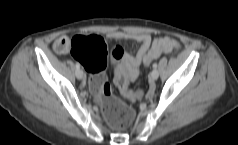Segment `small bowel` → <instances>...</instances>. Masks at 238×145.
Listing matches in <instances>:
<instances>
[{
	"label": "small bowel",
	"mask_w": 238,
	"mask_h": 145,
	"mask_svg": "<svg viewBox=\"0 0 238 145\" xmlns=\"http://www.w3.org/2000/svg\"><path fill=\"white\" fill-rule=\"evenodd\" d=\"M109 37L116 40L130 39L141 43V46L135 55L128 53L124 54L120 60V63L118 64V66H122L126 70L127 76L131 81L136 80L139 76V66L142 62H144L145 55L148 53V50L152 44L151 36L146 33L114 31L109 34ZM70 39L71 38L67 36L59 37L53 44L54 51L58 54L68 53ZM160 39H165L169 42V46L166 47L160 54L175 51L180 46L179 43L172 38L162 37Z\"/></svg>",
	"instance_id": "obj_1"
}]
</instances>
